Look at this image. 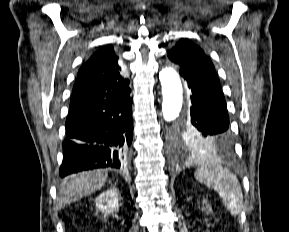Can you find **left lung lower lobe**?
Here are the masks:
<instances>
[{"instance_id":"1","label":"left lung lower lobe","mask_w":289,"mask_h":232,"mask_svg":"<svg viewBox=\"0 0 289 232\" xmlns=\"http://www.w3.org/2000/svg\"><path fill=\"white\" fill-rule=\"evenodd\" d=\"M179 72L192 93L189 125L200 137L213 143L214 151L230 152L233 148V137L219 81L189 69L180 68Z\"/></svg>"}]
</instances>
